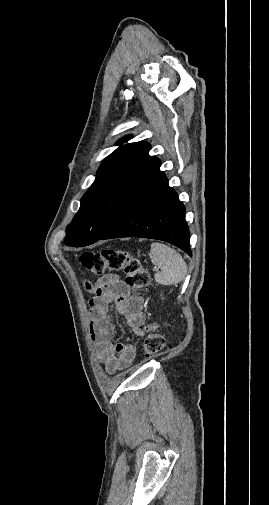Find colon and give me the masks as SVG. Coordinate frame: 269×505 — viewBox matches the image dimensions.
Returning <instances> with one entry per match:
<instances>
[{
	"instance_id": "colon-1",
	"label": "colon",
	"mask_w": 269,
	"mask_h": 505,
	"mask_svg": "<svg viewBox=\"0 0 269 505\" xmlns=\"http://www.w3.org/2000/svg\"><path fill=\"white\" fill-rule=\"evenodd\" d=\"M82 267L91 273L93 281H102L105 271H123L125 282L133 290H142L148 286L150 276L138 258L124 250L104 249L102 251H87L79 256ZM148 335L142 350L144 355H156L165 347L164 336L151 323L145 327Z\"/></svg>"
}]
</instances>
